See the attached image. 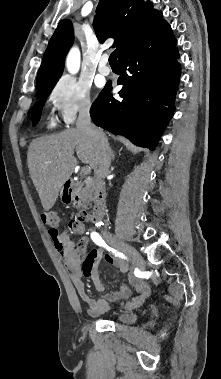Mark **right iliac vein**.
Here are the masks:
<instances>
[{
    "mask_svg": "<svg viewBox=\"0 0 221 379\" xmlns=\"http://www.w3.org/2000/svg\"><path fill=\"white\" fill-rule=\"evenodd\" d=\"M108 241L117 249L121 250L122 252L126 253L128 256H130L137 264L140 266L144 265V260L142 256L139 254V252L134 249L129 244L119 240L115 236H109Z\"/></svg>",
    "mask_w": 221,
    "mask_h": 379,
    "instance_id": "right-iliac-vein-1",
    "label": "right iliac vein"
}]
</instances>
